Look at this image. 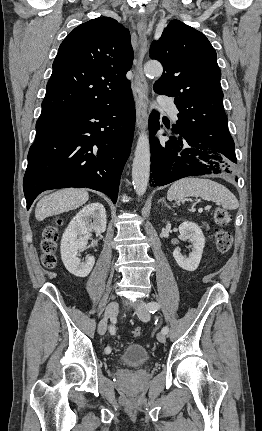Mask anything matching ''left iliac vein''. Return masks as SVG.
<instances>
[{"label":"left iliac vein","mask_w":262,"mask_h":431,"mask_svg":"<svg viewBox=\"0 0 262 431\" xmlns=\"http://www.w3.org/2000/svg\"><path fill=\"white\" fill-rule=\"evenodd\" d=\"M136 314L142 321H148L150 319V313L147 308V303L139 300L136 305ZM157 339L159 342L164 343L166 341L165 333L159 332Z\"/></svg>","instance_id":"1"}]
</instances>
